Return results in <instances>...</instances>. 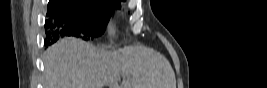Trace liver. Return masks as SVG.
<instances>
[{"label":"liver","instance_id":"liver-1","mask_svg":"<svg viewBox=\"0 0 267 88\" xmlns=\"http://www.w3.org/2000/svg\"><path fill=\"white\" fill-rule=\"evenodd\" d=\"M43 62L45 88H176L169 61L144 46L105 51L67 37L44 52Z\"/></svg>","mask_w":267,"mask_h":88}]
</instances>
